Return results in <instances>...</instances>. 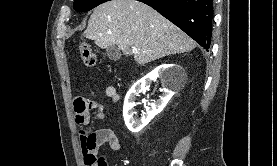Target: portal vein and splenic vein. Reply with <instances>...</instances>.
Listing matches in <instances>:
<instances>
[{"label":"portal vein and splenic vein","instance_id":"1","mask_svg":"<svg viewBox=\"0 0 277 166\" xmlns=\"http://www.w3.org/2000/svg\"><path fill=\"white\" fill-rule=\"evenodd\" d=\"M132 52H133L134 54H136V53H138V49L135 48V47H133V48H132Z\"/></svg>","mask_w":277,"mask_h":166}]
</instances>
